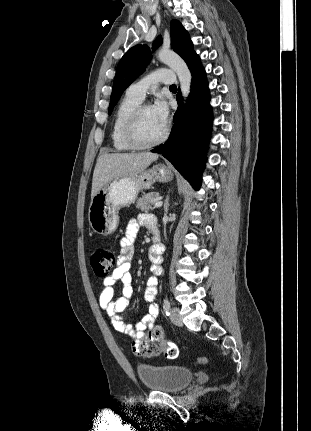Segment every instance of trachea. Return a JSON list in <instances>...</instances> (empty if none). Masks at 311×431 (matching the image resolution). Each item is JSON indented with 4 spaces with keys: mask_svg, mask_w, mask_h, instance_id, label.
I'll return each mask as SVG.
<instances>
[{
    "mask_svg": "<svg viewBox=\"0 0 311 431\" xmlns=\"http://www.w3.org/2000/svg\"><path fill=\"white\" fill-rule=\"evenodd\" d=\"M170 88H176V85H171V87Z\"/></svg>",
    "mask_w": 311,
    "mask_h": 431,
    "instance_id": "trachea-1",
    "label": "trachea"
}]
</instances>
